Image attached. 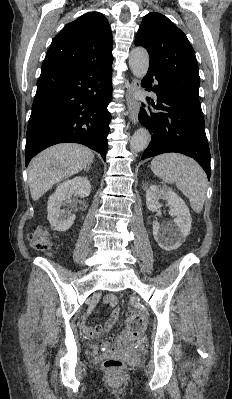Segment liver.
<instances>
[{"mask_svg": "<svg viewBox=\"0 0 232 399\" xmlns=\"http://www.w3.org/2000/svg\"><path fill=\"white\" fill-rule=\"evenodd\" d=\"M93 158L92 150L79 144H58L35 156L28 166L32 200H39L54 184L87 168L92 164Z\"/></svg>", "mask_w": 232, "mask_h": 399, "instance_id": "liver-1", "label": "liver"}]
</instances>
